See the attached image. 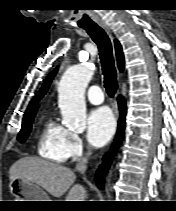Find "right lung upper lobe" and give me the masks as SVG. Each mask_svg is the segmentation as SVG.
Listing matches in <instances>:
<instances>
[{
  "label": "right lung upper lobe",
  "mask_w": 176,
  "mask_h": 211,
  "mask_svg": "<svg viewBox=\"0 0 176 211\" xmlns=\"http://www.w3.org/2000/svg\"><path fill=\"white\" fill-rule=\"evenodd\" d=\"M115 48H116V54H117V60H118V67L120 69V71H122L123 67H124V57H123V53H122V48L120 43L115 40ZM57 72V68L48 75V77L46 78L41 90L39 91V93L33 98V100L30 102L29 107L27 108L25 115H29V114H33L36 113L37 109H38V104L37 102L42 99V97L45 95V93L48 90V87L53 79V77L55 76Z\"/></svg>",
  "instance_id": "cb5924a9"
}]
</instances>
